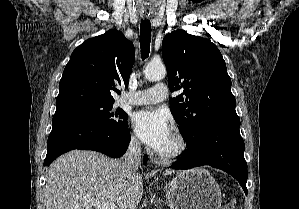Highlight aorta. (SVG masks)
<instances>
[{"label":"aorta","instance_id":"obj_1","mask_svg":"<svg viewBox=\"0 0 299 209\" xmlns=\"http://www.w3.org/2000/svg\"><path fill=\"white\" fill-rule=\"evenodd\" d=\"M148 81H159L166 75V68L162 63H149L144 70Z\"/></svg>","mask_w":299,"mask_h":209}]
</instances>
